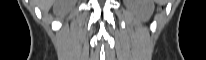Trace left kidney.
Segmentation results:
<instances>
[{
	"instance_id": "1",
	"label": "left kidney",
	"mask_w": 206,
	"mask_h": 60,
	"mask_svg": "<svg viewBox=\"0 0 206 60\" xmlns=\"http://www.w3.org/2000/svg\"><path fill=\"white\" fill-rule=\"evenodd\" d=\"M127 5L137 15V17L146 21L153 12L152 0H126Z\"/></svg>"
}]
</instances>
